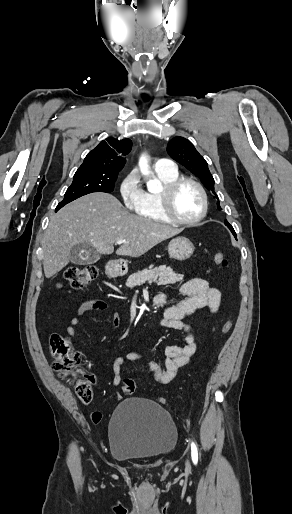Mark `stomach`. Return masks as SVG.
Returning <instances> with one entry per match:
<instances>
[{"mask_svg": "<svg viewBox=\"0 0 292 514\" xmlns=\"http://www.w3.org/2000/svg\"><path fill=\"white\" fill-rule=\"evenodd\" d=\"M194 252V246L188 238H174L168 244V254L170 258L174 260H187ZM105 272L108 278H117L121 274V266L118 264V260H111L105 266Z\"/></svg>", "mask_w": 292, "mask_h": 514, "instance_id": "0dacf381", "label": "stomach"}]
</instances>
